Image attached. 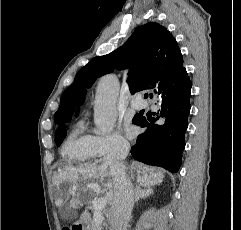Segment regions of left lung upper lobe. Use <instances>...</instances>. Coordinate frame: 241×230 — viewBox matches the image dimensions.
<instances>
[{"label": "left lung upper lobe", "instance_id": "5c2ea615", "mask_svg": "<svg viewBox=\"0 0 241 230\" xmlns=\"http://www.w3.org/2000/svg\"><path fill=\"white\" fill-rule=\"evenodd\" d=\"M65 136H66V130L63 126H60L56 131V138H55V142L58 146L62 143Z\"/></svg>", "mask_w": 241, "mask_h": 230}]
</instances>
